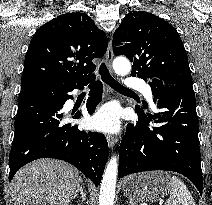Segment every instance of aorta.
<instances>
[{
    "mask_svg": "<svg viewBox=\"0 0 212 205\" xmlns=\"http://www.w3.org/2000/svg\"><path fill=\"white\" fill-rule=\"evenodd\" d=\"M113 69L120 76H126L131 70V64L124 57H117L113 61ZM118 174V157L109 160L100 186L99 205H113L115 198L116 180Z\"/></svg>",
    "mask_w": 212,
    "mask_h": 205,
    "instance_id": "762f6f07",
    "label": "aorta"
}]
</instances>
